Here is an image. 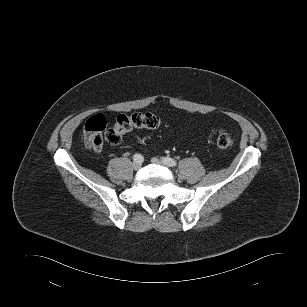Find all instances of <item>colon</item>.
Returning a JSON list of instances; mask_svg holds the SVG:
<instances>
[{"mask_svg": "<svg viewBox=\"0 0 307 307\" xmlns=\"http://www.w3.org/2000/svg\"><path fill=\"white\" fill-rule=\"evenodd\" d=\"M106 119L103 115H95L84 124V139L88 147L95 150L101 149L104 141L110 145H117L123 136L133 129H156L161 126L160 118L153 113L121 114L116 118L115 124L106 129ZM217 146L221 149L233 145L232 136L225 130H219L216 136Z\"/></svg>", "mask_w": 307, "mask_h": 307, "instance_id": "5ec220e1", "label": "colon"}]
</instances>
